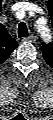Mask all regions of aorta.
Listing matches in <instances>:
<instances>
[{
    "instance_id": "762f6f07",
    "label": "aorta",
    "mask_w": 53,
    "mask_h": 120,
    "mask_svg": "<svg viewBox=\"0 0 53 120\" xmlns=\"http://www.w3.org/2000/svg\"><path fill=\"white\" fill-rule=\"evenodd\" d=\"M42 38L44 39L45 42H49L51 39V34L50 31L48 29H43L42 31Z\"/></svg>"
}]
</instances>
